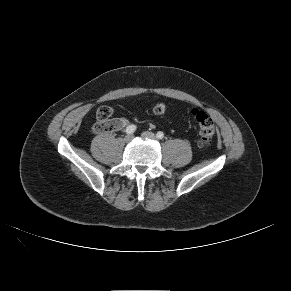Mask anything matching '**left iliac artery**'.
<instances>
[{"label": "left iliac artery", "instance_id": "44dca946", "mask_svg": "<svg viewBox=\"0 0 291 291\" xmlns=\"http://www.w3.org/2000/svg\"><path fill=\"white\" fill-rule=\"evenodd\" d=\"M156 137H157L158 139H163V137H164L163 132H161V131L157 132Z\"/></svg>", "mask_w": 291, "mask_h": 291}]
</instances>
